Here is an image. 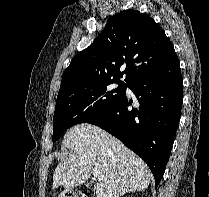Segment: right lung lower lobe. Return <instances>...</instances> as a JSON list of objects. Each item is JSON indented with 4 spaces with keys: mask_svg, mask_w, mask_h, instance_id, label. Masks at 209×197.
Segmentation results:
<instances>
[{
    "mask_svg": "<svg viewBox=\"0 0 209 197\" xmlns=\"http://www.w3.org/2000/svg\"><path fill=\"white\" fill-rule=\"evenodd\" d=\"M128 87L137 98V107H131L133 100L125 95L87 122L108 131L140 156L153 173L156 188L171 153L183 103L177 55Z\"/></svg>",
    "mask_w": 209,
    "mask_h": 197,
    "instance_id": "obj_1",
    "label": "right lung lower lobe"
}]
</instances>
